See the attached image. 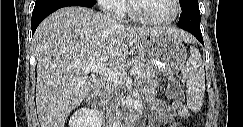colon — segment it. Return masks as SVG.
Segmentation results:
<instances>
[{"label": "colon", "mask_w": 243, "mask_h": 127, "mask_svg": "<svg viewBox=\"0 0 243 127\" xmlns=\"http://www.w3.org/2000/svg\"><path fill=\"white\" fill-rule=\"evenodd\" d=\"M167 96L177 101L184 100L183 89L179 81H177L176 79H173L169 82L167 87Z\"/></svg>", "instance_id": "colon-1"}]
</instances>
